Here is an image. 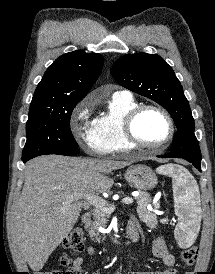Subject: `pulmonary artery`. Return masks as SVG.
I'll list each match as a JSON object with an SVG mask.
<instances>
[{
  "label": "pulmonary artery",
  "mask_w": 215,
  "mask_h": 274,
  "mask_svg": "<svg viewBox=\"0 0 215 274\" xmlns=\"http://www.w3.org/2000/svg\"><path fill=\"white\" fill-rule=\"evenodd\" d=\"M114 95L118 96H131V94L128 91H117L114 93Z\"/></svg>",
  "instance_id": "e3ab8cb5"
}]
</instances>
